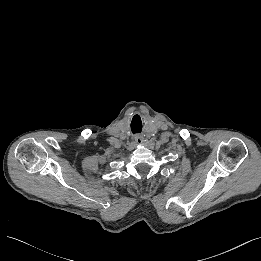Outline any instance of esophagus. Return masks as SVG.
<instances>
[{
  "mask_svg": "<svg viewBox=\"0 0 261 261\" xmlns=\"http://www.w3.org/2000/svg\"><path fill=\"white\" fill-rule=\"evenodd\" d=\"M134 142H135L136 145H142L143 144V140L140 139V138H135Z\"/></svg>",
  "mask_w": 261,
  "mask_h": 261,
  "instance_id": "34e87169",
  "label": "esophagus"
}]
</instances>
